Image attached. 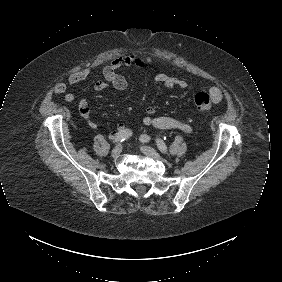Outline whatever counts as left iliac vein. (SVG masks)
<instances>
[{
	"label": "left iliac vein",
	"mask_w": 282,
	"mask_h": 282,
	"mask_svg": "<svg viewBox=\"0 0 282 282\" xmlns=\"http://www.w3.org/2000/svg\"><path fill=\"white\" fill-rule=\"evenodd\" d=\"M141 151L142 153H144L146 156L152 158V159H155V160H161V156L159 155V153L151 148V147H148V146H142L141 147Z\"/></svg>",
	"instance_id": "4c4485c4"
}]
</instances>
